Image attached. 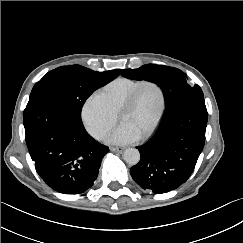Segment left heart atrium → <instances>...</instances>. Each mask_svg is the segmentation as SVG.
Returning a JSON list of instances; mask_svg holds the SVG:
<instances>
[{
	"mask_svg": "<svg viewBox=\"0 0 243 243\" xmlns=\"http://www.w3.org/2000/svg\"><path fill=\"white\" fill-rule=\"evenodd\" d=\"M140 134L128 124L122 123L109 136L108 141L114 144H127L140 138Z\"/></svg>",
	"mask_w": 243,
	"mask_h": 243,
	"instance_id": "left-heart-atrium-1",
	"label": "left heart atrium"
}]
</instances>
